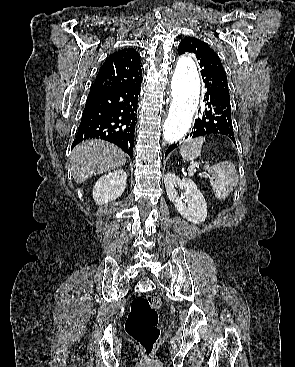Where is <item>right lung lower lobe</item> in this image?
<instances>
[{"label":"right lung lower lobe","mask_w":295,"mask_h":367,"mask_svg":"<svg viewBox=\"0 0 295 367\" xmlns=\"http://www.w3.org/2000/svg\"><path fill=\"white\" fill-rule=\"evenodd\" d=\"M140 84L123 88L92 87L72 148L87 139H103L133 156Z\"/></svg>","instance_id":"98d812e1"}]
</instances>
